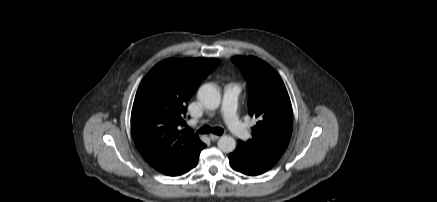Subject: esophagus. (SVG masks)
Returning <instances> with one entry per match:
<instances>
[{
  "label": "esophagus",
  "instance_id": "esophagus-1",
  "mask_svg": "<svg viewBox=\"0 0 437 202\" xmlns=\"http://www.w3.org/2000/svg\"><path fill=\"white\" fill-rule=\"evenodd\" d=\"M209 137H210V139H211L212 141H216V140H218V139L220 138L219 135H215V134H211Z\"/></svg>",
  "mask_w": 437,
  "mask_h": 202
}]
</instances>
